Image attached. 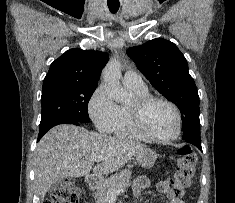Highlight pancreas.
Returning a JSON list of instances; mask_svg holds the SVG:
<instances>
[{
	"label": "pancreas",
	"instance_id": "cf45deb5",
	"mask_svg": "<svg viewBox=\"0 0 235 203\" xmlns=\"http://www.w3.org/2000/svg\"><path fill=\"white\" fill-rule=\"evenodd\" d=\"M131 170L124 169L119 173L112 175L97 187L95 192L96 203H109L108 193L120 189H126L130 186Z\"/></svg>",
	"mask_w": 235,
	"mask_h": 203
}]
</instances>
